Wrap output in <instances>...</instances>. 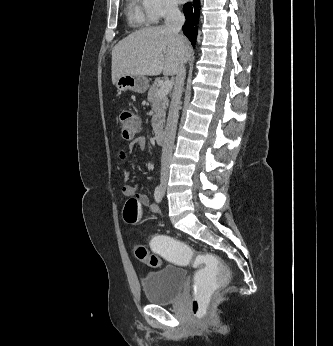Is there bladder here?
Returning <instances> with one entry per match:
<instances>
[{
  "instance_id": "1",
  "label": "bladder",
  "mask_w": 333,
  "mask_h": 346,
  "mask_svg": "<svg viewBox=\"0 0 333 346\" xmlns=\"http://www.w3.org/2000/svg\"><path fill=\"white\" fill-rule=\"evenodd\" d=\"M185 277L184 269L173 265L147 273L141 281L146 299L155 305L173 302L182 290Z\"/></svg>"
}]
</instances>
